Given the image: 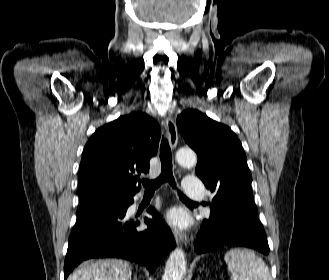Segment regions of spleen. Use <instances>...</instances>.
<instances>
[{
	"instance_id": "1",
	"label": "spleen",
	"mask_w": 329,
	"mask_h": 280,
	"mask_svg": "<svg viewBox=\"0 0 329 280\" xmlns=\"http://www.w3.org/2000/svg\"><path fill=\"white\" fill-rule=\"evenodd\" d=\"M224 260L231 272V280H272L264 261L248 249H231Z\"/></svg>"
}]
</instances>
